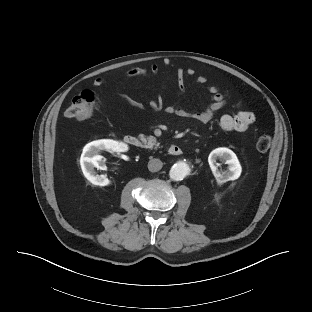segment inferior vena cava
I'll return each mask as SVG.
<instances>
[{"instance_id": "1", "label": "inferior vena cava", "mask_w": 312, "mask_h": 312, "mask_svg": "<svg viewBox=\"0 0 312 312\" xmlns=\"http://www.w3.org/2000/svg\"><path fill=\"white\" fill-rule=\"evenodd\" d=\"M163 166V163L161 162L160 159L154 158V159H150V161L148 162V169L151 172H157L159 171Z\"/></svg>"}]
</instances>
